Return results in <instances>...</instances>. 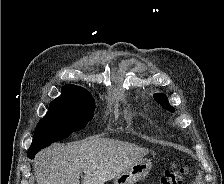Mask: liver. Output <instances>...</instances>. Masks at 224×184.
I'll list each match as a JSON object with an SVG mask.
<instances>
[{
    "label": "liver",
    "instance_id": "liver-1",
    "mask_svg": "<svg viewBox=\"0 0 224 184\" xmlns=\"http://www.w3.org/2000/svg\"><path fill=\"white\" fill-rule=\"evenodd\" d=\"M149 153L135 144L92 138L78 144H54L39 152L34 161L37 184H105Z\"/></svg>",
    "mask_w": 224,
    "mask_h": 184
}]
</instances>
